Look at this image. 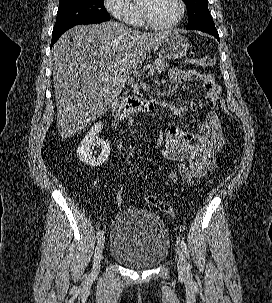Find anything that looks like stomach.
<instances>
[{
    "mask_svg": "<svg viewBox=\"0 0 272 303\" xmlns=\"http://www.w3.org/2000/svg\"><path fill=\"white\" fill-rule=\"evenodd\" d=\"M189 42L178 32H167L162 41L154 47V53L161 59H177L186 55Z\"/></svg>",
    "mask_w": 272,
    "mask_h": 303,
    "instance_id": "obj_1",
    "label": "stomach"
}]
</instances>
